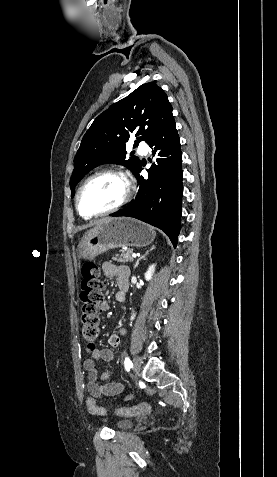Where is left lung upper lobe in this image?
<instances>
[{"label":"left lung upper lobe","instance_id":"1","mask_svg":"<svg viewBox=\"0 0 277 477\" xmlns=\"http://www.w3.org/2000/svg\"><path fill=\"white\" fill-rule=\"evenodd\" d=\"M171 118L172 106L155 82L139 86L101 113L83 136L75 155L70 179L72 197L77 183L98 165L120 164L135 174L141 162L135 156L126 157L130 136L136 137L135 143H147Z\"/></svg>","mask_w":277,"mask_h":477}]
</instances>
